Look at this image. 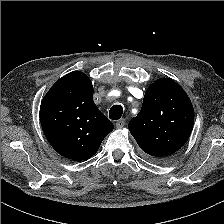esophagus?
I'll return each mask as SVG.
<instances>
[{
    "instance_id": "esophagus-1",
    "label": "esophagus",
    "mask_w": 224,
    "mask_h": 224,
    "mask_svg": "<svg viewBox=\"0 0 224 224\" xmlns=\"http://www.w3.org/2000/svg\"><path fill=\"white\" fill-rule=\"evenodd\" d=\"M125 122H126V121H125L124 118L118 120V121L116 122V127H117L118 129L123 128V127L125 126Z\"/></svg>"
}]
</instances>
